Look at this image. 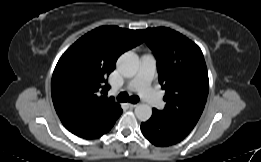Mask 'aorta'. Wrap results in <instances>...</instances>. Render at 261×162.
Returning a JSON list of instances; mask_svg holds the SVG:
<instances>
[{
	"label": "aorta",
	"instance_id": "1",
	"mask_svg": "<svg viewBox=\"0 0 261 162\" xmlns=\"http://www.w3.org/2000/svg\"><path fill=\"white\" fill-rule=\"evenodd\" d=\"M117 65L124 76L133 77L139 69V58L134 52L129 51L119 57ZM135 115L138 120L147 121L152 116V108L148 104H138Z\"/></svg>",
	"mask_w": 261,
	"mask_h": 162
}]
</instances>
